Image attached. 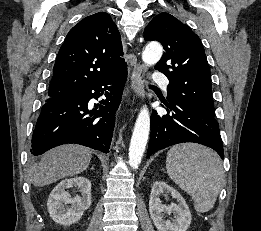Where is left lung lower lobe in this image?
<instances>
[{
    "label": "left lung lower lobe",
    "mask_w": 261,
    "mask_h": 231,
    "mask_svg": "<svg viewBox=\"0 0 261 231\" xmlns=\"http://www.w3.org/2000/svg\"><path fill=\"white\" fill-rule=\"evenodd\" d=\"M168 114L151 115V139L147 158L154 152L174 144L194 142L214 149L224 158L219 124L215 117L179 101L163 102ZM172 110V113L170 111Z\"/></svg>",
    "instance_id": "0a47b994"
}]
</instances>
